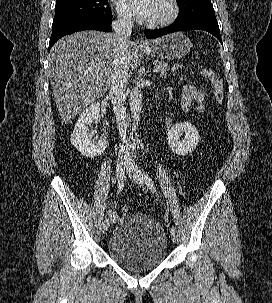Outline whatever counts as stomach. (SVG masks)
I'll return each mask as SVG.
<instances>
[{"mask_svg": "<svg viewBox=\"0 0 272 303\" xmlns=\"http://www.w3.org/2000/svg\"><path fill=\"white\" fill-rule=\"evenodd\" d=\"M191 41L182 33H172L152 41L140 51L160 60H179L190 51Z\"/></svg>", "mask_w": 272, "mask_h": 303, "instance_id": "1", "label": "stomach"}]
</instances>
